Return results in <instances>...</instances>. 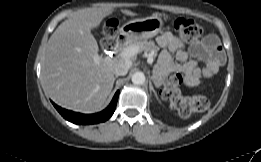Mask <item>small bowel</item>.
<instances>
[{"label":"small bowel","instance_id":"c3829d8e","mask_svg":"<svg viewBox=\"0 0 261 162\" xmlns=\"http://www.w3.org/2000/svg\"><path fill=\"white\" fill-rule=\"evenodd\" d=\"M158 44L165 48L159 56V69L162 73L181 72L188 86L198 83L201 78H209L217 73L225 63L223 48L214 35L194 44L190 53L184 49V43L171 32H165L157 39ZM174 57L181 63L174 60ZM203 64V67L197 65Z\"/></svg>","mask_w":261,"mask_h":162}]
</instances>
